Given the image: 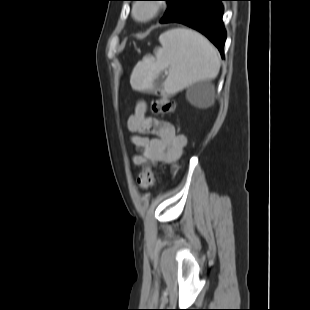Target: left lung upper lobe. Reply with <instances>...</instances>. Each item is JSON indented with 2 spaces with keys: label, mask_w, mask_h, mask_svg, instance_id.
I'll list each match as a JSON object with an SVG mask.
<instances>
[{
  "label": "left lung upper lobe",
  "mask_w": 310,
  "mask_h": 310,
  "mask_svg": "<svg viewBox=\"0 0 310 310\" xmlns=\"http://www.w3.org/2000/svg\"><path fill=\"white\" fill-rule=\"evenodd\" d=\"M169 3L168 10L162 18V23H170L179 14L186 0H164Z\"/></svg>",
  "instance_id": "5c2ea615"
}]
</instances>
